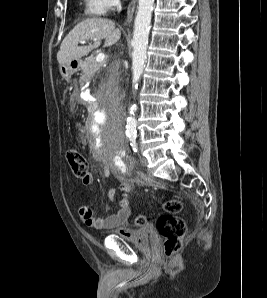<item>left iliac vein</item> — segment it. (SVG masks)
Here are the masks:
<instances>
[{"instance_id":"1","label":"left iliac vein","mask_w":267,"mask_h":298,"mask_svg":"<svg viewBox=\"0 0 267 298\" xmlns=\"http://www.w3.org/2000/svg\"><path fill=\"white\" fill-rule=\"evenodd\" d=\"M147 159L145 158V157H140V164L142 165V166H147Z\"/></svg>"}]
</instances>
